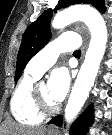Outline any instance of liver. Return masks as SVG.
<instances>
[{
	"mask_svg": "<svg viewBox=\"0 0 112 135\" xmlns=\"http://www.w3.org/2000/svg\"><path fill=\"white\" fill-rule=\"evenodd\" d=\"M46 129L41 128H24L14 122H7L4 124V135H45ZM1 134V132H0Z\"/></svg>",
	"mask_w": 112,
	"mask_h": 135,
	"instance_id": "obj_1",
	"label": "liver"
}]
</instances>
